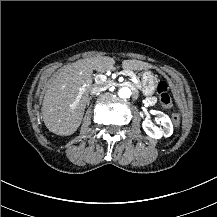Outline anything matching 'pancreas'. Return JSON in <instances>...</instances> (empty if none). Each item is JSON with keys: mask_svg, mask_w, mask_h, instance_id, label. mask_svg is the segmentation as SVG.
<instances>
[{"mask_svg": "<svg viewBox=\"0 0 217 217\" xmlns=\"http://www.w3.org/2000/svg\"><path fill=\"white\" fill-rule=\"evenodd\" d=\"M125 73H128L132 77H135V74L133 72H131V71L125 70ZM136 85L139 86V83H137Z\"/></svg>", "mask_w": 217, "mask_h": 217, "instance_id": "1", "label": "pancreas"}]
</instances>
